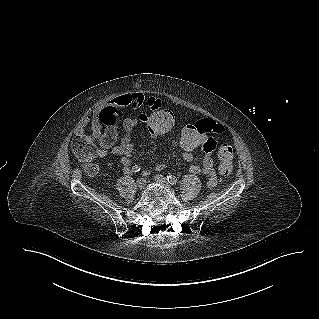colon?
Segmentation results:
<instances>
[{"label": "colon", "mask_w": 319, "mask_h": 319, "mask_svg": "<svg viewBox=\"0 0 319 319\" xmlns=\"http://www.w3.org/2000/svg\"><path fill=\"white\" fill-rule=\"evenodd\" d=\"M176 123V114L171 113H152L149 114V129L156 136L167 135ZM223 128L213 120L198 116L190 126H184L177 133V142L182 153L191 155L196 151H203L202 147L206 139L211 138V134ZM72 151L77 158L85 165V170L89 175L97 172L94 159L99 155V149L94 147L89 138L76 137L72 142ZM233 149L228 144L220 145L218 158L220 160V172L223 175L231 173L233 168Z\"/></svg>", "instance_id": "obj_1"}]
</instances>
